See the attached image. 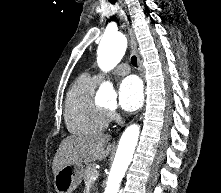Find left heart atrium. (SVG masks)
<instances>
[{
    "instance_id": "left-heart-atrium-1",
    "label": "left heart atrium",
    "mask_w": 221,
    "mask_h": 193,
    "mask_svg": "<svg viewBox=\"0 0 221 193\" xmlns=\"http://www.w3.org/2000/svg\"><path fill=\"white\" fill-rule=\"evenodd\" d=\"M144 100L143 85L136 76L126 77L119 88V105L127 111L132 112L141 107Z\"/></svg>"
}]
</instances>
